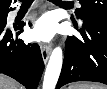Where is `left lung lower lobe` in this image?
I'll use <instances>...</instances> for the list:
<instances>
[{
    "mask_svg": "<svg viewBox=\"0 0 107 89\" xmlns=\"http://www.w3.org/2000/svg\"><path fill=\"white\" fill-rule=\"evenodd\" d=\"M79 30L84 42L68 37L62 71L56 86L75 81L107 84V17H86Z\"/></svg>",
    "mask_w": 107,
    "mask_h": 89,
    "instance_id": "obj_1",
    "label": "left lung lower lobe"
}]
</instances>
